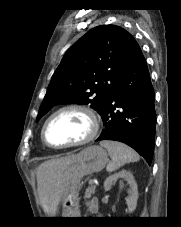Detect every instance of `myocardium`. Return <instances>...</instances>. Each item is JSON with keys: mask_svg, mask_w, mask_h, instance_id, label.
Listing matches in <instances>:
<instances>
[{"mask_svg": "<svg viewBox=\"0 0 181 227\" xmlns=\"http://www.w3.org/2000/svg\"><path fill=\"white\" fill-rule=\"evenodd\" d=\"M65 111H76V112L84 114L87 117L88 122H89V131L83 138H81L79 140H76V141H73V142H70L67 144H63V145H54V144L50 143L47 139V134H46L47 127L55 116H57L58 114H60L62 112H65ZM99 128H100L99 118L92 108L81 105V104H67V105H64V106L58 108L57 110H55L54 112H52L49 115V117L46 119V121L43 124L42 130H41V137L46 146L53 148V149H64V148H69V147L81 146V145H85V144L89 143L97 136V134L99 132Z\"/></svg>", "mask_w": 181, "mask_h": 227, "instance_id": "myocardium-1", "label": "myocardium"}]
</instances>
